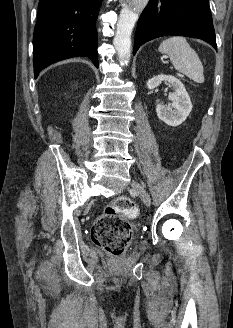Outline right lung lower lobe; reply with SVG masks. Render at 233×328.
Returning a JSON list of instances; mask_svg holds the SVG:
<instances>
[{"instance_id": "98d812e1", "label": "right lung lower lobe", "mask_w": 233, "mask_h": 328, "mask_svg": "<svg viewBox=\"0 0 233 328\" xmlns=\"http://www.w3.org/2000/svg\"><path fill=\"white\" fill-rule=\"evenodd\" d=\"M102 0H40L33 37L34 74L54 62L85 56L98 67L95 22Z\"/></svg>"}]
</instances>
